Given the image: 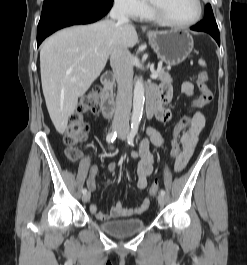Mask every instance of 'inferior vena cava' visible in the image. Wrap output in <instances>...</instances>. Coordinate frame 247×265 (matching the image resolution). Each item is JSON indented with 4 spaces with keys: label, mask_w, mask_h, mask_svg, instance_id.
Returning a JSON list of instances; mask_svg holds the SVG:
<instances>
[{
    "label": "inferior vena cava",
    "mask_w": 247,
    "mask_h": 265,
    "mask_svg": "<svg viewBox=\"0 0 247 265\" xmlns=\"http://www.w3.org/2000/svg\"><path fill=\"white\" fill-rule=\"evenodd\" d=\"M109 15L118 24H129V18L120 2H115ZM110 65L118 85L113 125L129 129L133 81V66L129 50L126 47H114L110 54Z\"/></svg>",
    "instance_id": "obj_1"
}]
</instances>
